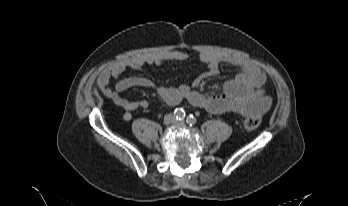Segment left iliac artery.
I'll list each match as a JSON object with an SVG mask.
<instances>
[{
	"label": "left iliac artery",
	"instance_id": "left-iliac-artery-1",
	"mask_svg": "<svg viewBox=\"0 0 348 206\" xmlns=\"http://www.w3.org/2000/svg\"><path fill=\"white\" fill-rule=\"evenodd\" d=\"M186 122H187L190 126H193V125L196 124L197 118H196L193 114H190V115L187 117Z\"/></svg>",
	"mask_w": 348,
	"mask_h": 206
}]
</instances>
